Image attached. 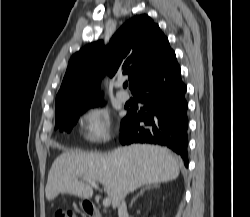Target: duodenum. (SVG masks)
I'll return each mask as SVG.
<instances>
[{
  "instance_id": "1",
  "label": "duodenum",
  "mask_w": 250,
  "mask_h": 217,
  "mask_svg": "<svg viewBox=\"0 0 250 217\" xmlns=\"http://www.w3.org/2000/svg\"><path fill=\"white\" fill-rule=\"evenodd\" d=\"M84 210L89 217H102L99 208L93 204L90 203L85 204Z\"/></svg>"
}]
</instances>
